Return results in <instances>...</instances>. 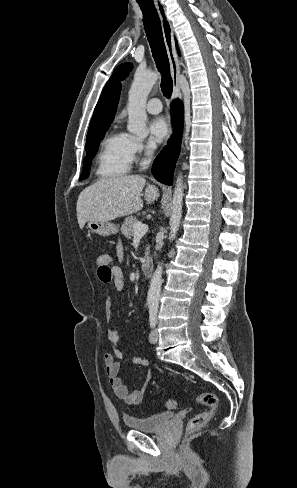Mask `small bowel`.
Listing matches in <instances>:
<instances>
[{
  "mask_svg": "<svg viewBox=\"0 0 297 488\" xmlns=\"http://www.w3.org/2000/svg\"><path fill=\"white\" fill-rule=\"evenodd\" d=\"M122 257H123L122 245L121 243H118L116 247V258L117 260H121ZM112 261L113 258L109 256V265H108L109 270L106 274H102L98 270V278L102 284L105 285L112 284L115 290L122 291L125 287L123 273L119 266L110 265ZM111 306H112L111 300L108 299L106 302L107 318L111 317L112 314ZM107 338L109 344L112 347V352L104 354L103 362H104L106 374L109 379V384L118 398L124 400L128 404H139L142 401L144 397V393L152 380L153 372L152 371L147 372L144 383L140 389L129 391V389L123 383L121 377L119 376V371H120L119 360L123 357V354L118 349V342H119L118 333L114 329H109L107 331ZM132 363L142 367H148L150 365L149 359L145 356H137L132 358Z\"/></svg>",
  "mask_w": 297,
  "mask_h": 488,
  "instance_id": "1",
  "label": "small bowel"
}]
</instances>
